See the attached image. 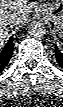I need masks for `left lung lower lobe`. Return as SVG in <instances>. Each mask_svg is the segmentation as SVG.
Here are the masks:
<instances>
[{
	"instance_id": "1",
	"label": "left lung lower lobe",
	"mask_w": 63,
	"mask_h": 107,
	"mask_svg": "<svg viewBox=\"0 0 63 107\" xmlns=\"http://www.w3.org/2000/svg\"><path fill=\"white\" fill-rule=\"evenodd\" d=\"M55 57L59 65L63 68V53L57 47H55Z\"/></svg>"
}]
</instances>
